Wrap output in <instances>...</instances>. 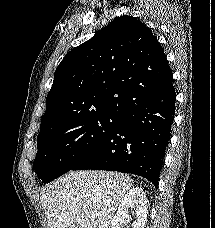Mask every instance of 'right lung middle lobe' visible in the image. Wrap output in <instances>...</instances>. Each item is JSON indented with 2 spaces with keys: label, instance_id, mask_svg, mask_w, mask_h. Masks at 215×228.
<instances>
[{
  "label": "right lung middle lobe",
  "instance_id": "dd1d6c3e",
  "mask_svg": "<svg viewBox=\"0 0 215 228\" xmlns=\"http://www.w3.org/2000/svg\"><path fill=\"white\" fill-rule=\"evenodd\" d=\"M120 115L102 113L81 120L46 127L37 137L36 174L44 183L71 170L116 126Z\"/></svg>",
  "mask_w": 215,
  "mask_h": 228
}]
</instances>
